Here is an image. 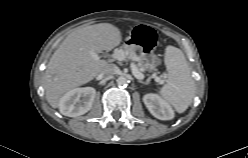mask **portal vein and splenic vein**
Masks as SVG:
<instances>
[{"label": "portal vein and splenic vein", "mask_w": 248, "mask_h": 158, "mask_svg": "<svg viewBox=\"0 0 248 158\" xmlns=\"http://www.w3.org/2000/svg\"><path fill=\"white\" fill-rule=\"evenodd\" d=\"M92 57L94 59H99L97 54L92 53ZM112 58L118 61H122L126 58V53L120 49V50H115L114 53L112 54ZM130 68L132 70V74L137 78V79H143L144 75L139 71L137 66L134 63L130 64ZM155 81L157 83H162V80L160 77H155Z\"/></svg>", "instance_id": "18ae733b"}]
</instances>
